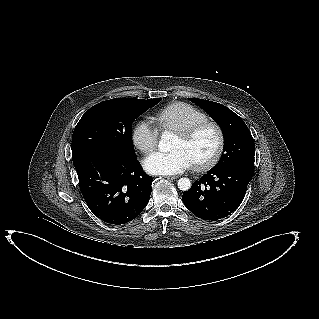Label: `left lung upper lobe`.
Masks as SVG:
<instances>
[{"label": "left lung upper lobe", "instance_id": "1", "mask_svg": "<svg viewBox=\"0 0 319 319\" xmlns=\"http://www.w3.org/2000/svg\"><path fill=\"white\" fill-rule=\"evenodd\" d=\"M189 100L208 113L222 129L224 154L213 168L240 165L254 170V140L244 121L232 110L219 103L203 99Z\"/></svg>", "mask_w": 319, "mask_h": 319}]
</instances>
